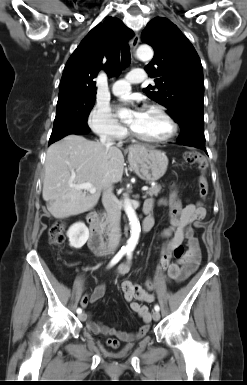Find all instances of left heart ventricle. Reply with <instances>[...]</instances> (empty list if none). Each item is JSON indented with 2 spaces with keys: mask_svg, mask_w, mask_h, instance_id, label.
I'll list each match as a JSON object with an SVG mask.
<instances>
[{
  "mask_svg": "<svg viewBox=\"0 0 247 385\" xmlns=\"http://www.w3.org/2000/svg\"><path fill=\"white\" fill-rule=\"evenodd\" d=\"M130 126L140 135L148 138H162L170 131L168 122L156 111L143 110L140 116L131 115Z\"/></svg>",
  "mask_w": 247,
  "mask_h": 385,
  "instance_id": "1",
  "label": "left heart ventricle"
}]
</instances>
